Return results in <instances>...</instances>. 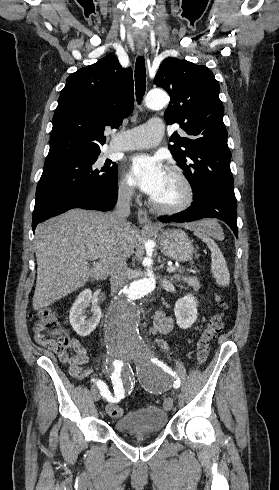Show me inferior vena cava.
<instances>
[{
    "label": "inferior vena cava",
    "mask_w": 279,
    "mask_h": 490,
    "mask_svg": "<svg viewBox=\"0 0 279 490\" xmlns=\"http://www.w3.org/2000/svg\"><path fill=\"white\" fill-rule=\"evenodd\" d=\"M133 194V188H128V186L120 188L115 210L109 214V226L118 228L123 236H128L129 234L126 230L129 228L130 224L126 222V218L130 216V200ZM129 278L130 270L127 268L126 260H118V262H115L110 274L111 296L118 294L122 288H125L129 282Z\"/></svg>",
    "instance_id": "obj_1"
}]
</instances>
